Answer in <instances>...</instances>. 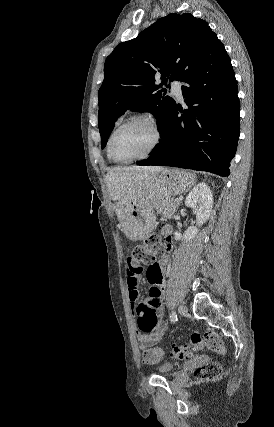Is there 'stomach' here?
I'll return each mask as SVG.
<instances>
[{
	"label": "stomach",
	"instance_id": "obj_1",
	"mask_svg": "<svg viewBox=\"0 0 274 427\" xmlns=\"http://www.w3.org/2000/svg\"><path fill=\"white\" fill-rule=\"evenodd\" d=\"M195 184V174L185 170H168L157 172L152 178L139 182L130 202H117L115 212L120 225L129 239H146L153 227L156 217L154 208L160 198L178 196L190 190Z\"/></svg>",
	"mask_w": 274,
	"mask_h": 427
}]
</instances>
